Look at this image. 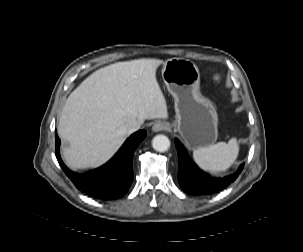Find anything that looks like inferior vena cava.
<instances>
[{
  "mask_svg": "<svg viewBox=\"0 0 303 252\" xmlns=\"http://www.w3.org/2000/svg\"><path fill=\"white\" fill-rule=\"evenodd\" d=\"M140 126L141 124L138 121L136 120L131 121L123 127V132L126 135L132 134L133 132L137 131L140 128Z\"/></svg>",
  "mask_w": 303,
  "mask_h": 252,
  "instance_id": "obj_1",
  "label": "inferior vena cava"
}]
</instances>
